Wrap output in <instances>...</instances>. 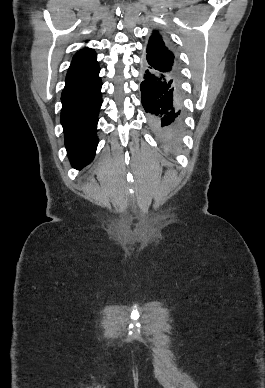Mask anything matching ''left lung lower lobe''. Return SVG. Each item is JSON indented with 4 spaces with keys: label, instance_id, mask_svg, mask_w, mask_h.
I'll list each match as a JSON object with an SVG mask.
<instances>
[{
    "label": "left lung lower lobe",
    "instance_id": "obj_1",
    "mask_svg": "<svg viewBox=\"0 0 265 388\" xmlns=\"http://www.w3.org/2000/svg\"><path fill=\"white\" fill-rule=\"evenodd\" d=\"M140 90L142 105L156 136L164 142L176 143L183 121L180 81L144 64Z\"/></svg>",
    "mask_w": 265,
    "mask_h": 388
}]
</instances>
